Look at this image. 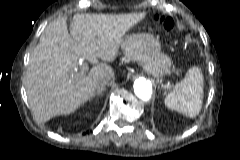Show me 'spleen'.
<instances>
[{"mask_svg":"<svg viewBox=\"0 0 240 160\" xmlns=\"http://www.w3.org/2000/svg\"><path fill=\"white\" fill-rule=\"evenodd\" d=\"M203 97V76L199 68L189 69L183 80L174 86L164 102L173 110L195 117L201 110Z\"/></svg>","mask_w":240,"mask_h":160,"instance_id":"spleen-1","label":"spleen"}]
</instances>
